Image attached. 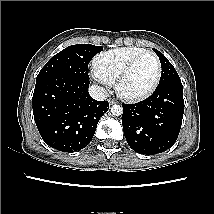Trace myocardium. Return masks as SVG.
<instances>
[{
  "label": "myocardium",
  "mask_w": 214,
  "mask_h": 214,
  "mask_svg": "<svg viewBox=\"0 0 214 214\" xmlns=\"http://www.w3.org/2000/svg\"><path fill=\"white\" fill-rule=\"evenodd\" d=\"M144 56H151L155 63H156V67H157V72H156V77L155 80L152 84V86L145 92L141 93V94H137V95H129L126 94L122 91L121 86L123 81L125 80V78L128 76V74L130 73V71L132 70V68L134 67V65ZM161 76H162V66L160 63L159 58L150 51H144L136 56H134L126 65L125 67L122 69V71L120 72L117 80H116V91L117 94L120 98L129 101V102H138V101H143L145 99H147L148 97H150L157 89L160 80H161Z\"/></svg>",
  "instance_id": "f54148a6"
}]
</instances>
